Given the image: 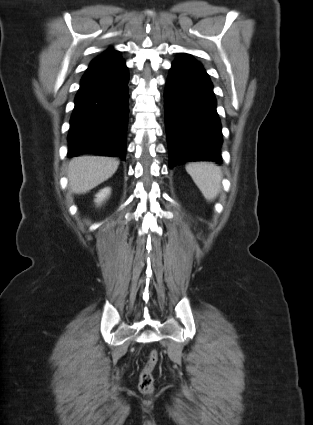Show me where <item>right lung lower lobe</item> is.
<instances>
[{"label": "right lung lower lobe", "mask_w": 313, "mask_h": 425, "mask_svg": "<svg viewBox=\"0 0 313 425\" xmlns=\"http://www.w3.org/2000/svg\"><path fill=\"white\" fill-rule=\"evenodd\" d=\"M129 74L119 55L103 53L81 79L70 120L68 157L98 154L125 158Z\"/></svg>", "instance_id": "98d812e1"}]
</instances>
